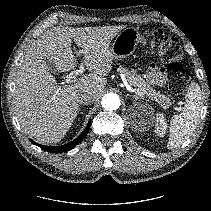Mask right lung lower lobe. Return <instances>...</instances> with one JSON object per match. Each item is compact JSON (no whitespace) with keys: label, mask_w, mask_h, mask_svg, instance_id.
Masks as SVG:
<instances>
[{"label":"right lung lower lobe","mask_w":211,"mask_h":211,"mask_svg":"<svg viewBox=\"0 0 211 211\" xmlns=\"http://www.w3.org/2000/svg\"><path fill=\"white\" fill-rule=\"evenodd\" d=\"M90 121L88 122V125L86 126L85 130L72 142L65 144V145H61V146H44V145H39L37 143H35L34 141L30 140L31 143L39 146L42 150H45L47 152L50 153H63V152H67L71 149H73L76 145H78L84 138L85 136L88 134L89 129H90Z\"/></svg>","instance_id":"right-lung-lower-lobe-1"}]
</instances>
